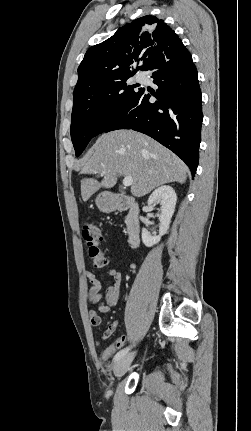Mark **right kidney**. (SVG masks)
I'll use <instances>...</instances> for the list:
<instances>
[{"mask_svg":"<svg viewBox=\"0 0 251 431\" xmlns=\"http://www.w3.org/2000/svg\"><path fill=\"white\" fill-rule=\"evenodd\" d=\"M177 201V196L175 191L171 186L164 185L153 191L148 199V205H155L160 203L161 214L159 216L160 229L158 236H152L148 230L142 229V241L145 246L152 247L157 244L163 235H165L169 229L171 223V218L175 211V205Z\"/></svg>","mask_w":251,"mask_h":431,"instance_id":"1","label":"right kidney"}]
</instances>
